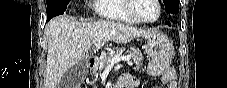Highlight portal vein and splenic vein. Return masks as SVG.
Here are the masks:
<instances>
[{"instance_id":"obj_1","label":"portal vein and splenic vein","mask_w":227,"mask_h":88,"mask_svg":"<svg viewBox=\"0 0 227 88\" xmlns=\"http://www.w3.org/2000/svg\"><path fill=\"white\" fill-rule=\"evenodd\" d=\"M105 43L104 42H98V43H95L94 46L95 47H102ZM131 59V56L130 55H127V56H114L111 58L110 60V65H113L115 63H119L120 61H129Z\"/></svg>"}]
</instances>
